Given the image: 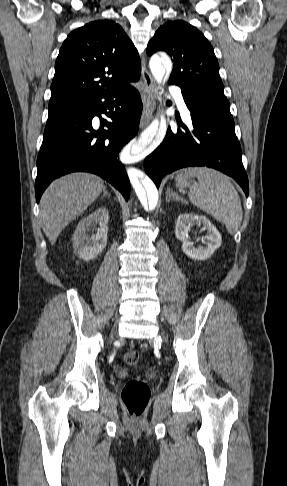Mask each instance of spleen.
I'll use <instances>...</instances> for the list:
<instances>
[{
    "instance_id": "spleen-1",
    "label": "spleen",
    "mask_w": 287,
    "mask_h": 486,
    "mask_svg": "<svg viewBox=\"0 0 287 486\" xmlns=\"http://www.w3.org/2000/svg\"><path fill=\"white\" fill-rule=\"evenodd\" d=\"M186 173L198 180L190 187V201L223 223L228 233L234 235L242 224L243 212L239 195L229 178L206 167L190 168Z\"/></svg>"
}]
</instances>
